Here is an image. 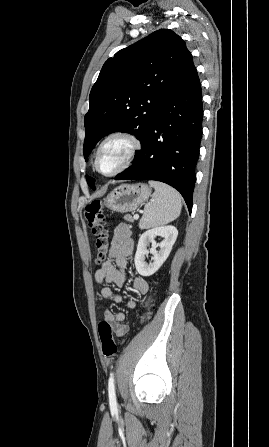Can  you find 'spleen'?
I'll list each match as a JSON object with an SVG mask.
<instances>
[{
  "mask_svg": "<svg viewBox=\"0 0 269 447\" xmlns=\"http://www.w3.org/2000/svg\"><path fill=\"white\" fill-rule=\"evenodd\" d=\"M155 188L152 202L145 204L144 214L139 222L141 229L169 224L181 214V196L162 182H149Z\"/></svg>",
  "mask_w": 269,
  "mask_h": 447,
  "instance_id": "spleen-1",
  "label": "spleen"
}]
</instances>
